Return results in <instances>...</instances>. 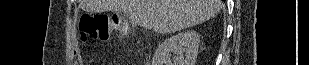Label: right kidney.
I'll list each match as a JSON object with an SVG mask.
<instances>
[{"label":"right kidney","instance_id":"ca27d5eb","mask_svg":"<svg viewBox=\"0 0 309 65\" xmlns=\"http://www.w3.org/2000/svg\"><path fill=\"white\" fill-rule=\"evenodd\" d=\"M200 36L194 30L180 32L160 43L152 65H194L198 55ZM171 53L175 57L171 60Z\"/></svg>","mask_w":309,"mask_h":65}]
</instances>
